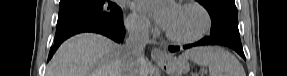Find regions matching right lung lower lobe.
I'll use <instances>...</instances> for the list:
<instances>
[{
  "label": "right lung lower lobe",
  "instance_id": "98d812e1",
  "mask_svg": "<svg viewBox=\"0 0 287 76\" xmlns=\"http://www.w3.org/2000/svg\"><path fill=\"white\" fill-rule=\"evenodd\" d=\"M81 32H95L103 34L116 42L122 41L125 30L123 27L122 20L118 23L109 24V25H87V26H81L75 29H71L65 33L56 35L55 38V45L51 48L49 52L48 61L52 58L53 54L57 50V48L60 46V44L69 38L70 36L81 33Z\"/></svg>",
  "mask_w": 287,
  "mask_h": 76
}]
</instances>
